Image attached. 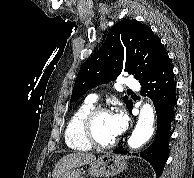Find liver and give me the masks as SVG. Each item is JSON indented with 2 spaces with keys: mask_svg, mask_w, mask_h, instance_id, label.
I'll return each instance as SVG.
<instances>
[{
  "mask_svg": "<svg viewBox=\"0 0 194 178\" xmlns=\"http://www.w3.org/2000/svg\"><path fill=\"white\" fill-rule=\"evenodd\" d=\"M95 160V155L90 153H70L57 162L52 172V177L57 178L68 170L92 163Z\"/></svg>",
  "mask_w": 194,
  "mask_h": 178,
  "instance_id": "liver-1",
  "label": "liver"
}]
</instances>
